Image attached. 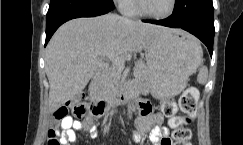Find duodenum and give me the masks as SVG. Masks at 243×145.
<instances>
[{"mask_svg": "<svg viewBox=\"0 0 243 145\" xmlns=\"http://www.w3.org/2000/svg\"><path fill=\"white\" fill-rule=\"evenodd\" d=\"M105 72V67L99 68L97 75H102ZM132 97V91L127 85L121 86L118 91L109 98H94L92 93H89L91 100L90 111L95 117H101L109 112L113 107L120 103L128 101Z\"/></svg>", "mask_w": 243, "mask_h": 145, "instance_id": "duodenum-1", "label": "duodenum"}]
</instances>
